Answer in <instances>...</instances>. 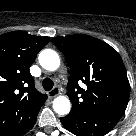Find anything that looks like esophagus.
I'll list each match as a JSON object with an SVG mask.
<instances>
[{
	"label": "esophagus",
	"mask_w": 136,
	"mask_h": 136,
	"mask_svg": "<svg viewBox=\"0 0 136 136\" xmlns=\"http://www.w3.org/2000/svg\"><path fill=\"white\" fill-rule=\"evenodd\" d=\"M60 94V89L58 87H54L51 91L48 92L49 98H54Z\"/></svg>",
	"instance_id": "1"
}]
</instances>
